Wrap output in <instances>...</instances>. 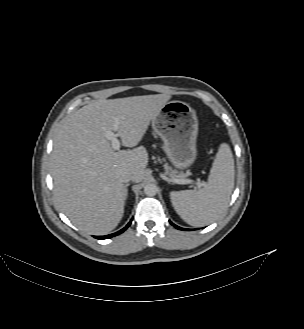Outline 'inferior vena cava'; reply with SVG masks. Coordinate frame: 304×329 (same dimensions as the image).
I'll list each match as a JSON object with an SVG mask.
<instances>
[{
  "label": "inferior vena cava",
  "instance_id": "obj_1",
  "mask_svg": "<svg viewBox=\"0 0 304 329\" xmlns=\"http://www.w3.org/2000/svg\"><path fill=\"white\" fill-rule=\"evenodd\" d=\"M119 179L121 182H128L132 180V173L129 171H122L119 173Z\"/></svg>",
  "mask_w": 304,
  "mask_h": 329
}]
</instances>
